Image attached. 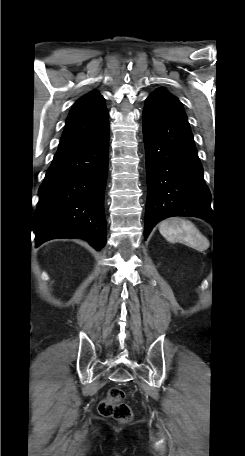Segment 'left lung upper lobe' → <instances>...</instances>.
Returning <instances> with one entry per match:
<instances>
[{
	"label": "left lung upper lobe",
	"mask_w": 245,
	"mask_h": 456,
	"mask_svg": "<svg viewBox=\"0 0 245 456\" xmlns=\"http://www.w3.org/2000/svg\"><path fill=\"white\" fill-rule=\"evenodd\" d=\"M149 97H153V98L161 99V100H164V101L172 102V103H175V104L181 106L180 101L175 96H173L172 94L168 93L167 91H165L164 89H161V88L157 89Z\"/></svg>",
	"instance_id": "left-lung-upper-lobe-1"
}]
</instances>
